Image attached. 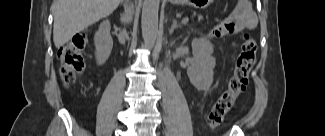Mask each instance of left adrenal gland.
Returning a JSON list of instances; mask_svg holds the SVG:
<instances>
[{
	"instance_id": "obj_1",
	"label": "left adrenal gland",
	"mask_w": 325,
	"mask_h": 136,
	"mask_svg": "<svg viewBox=\"0 0 325 136\" xmlns=\"http://www.w3.org/2000/svg\"><path fill=\"white\" fill-rule=\"evenodd\" d=\"M180 26H181V24H178L177 23V20L176 19H173V23H172V26H171V29H170V34L173 33L174 29H176V28H178Z\"/></svg>"
}]
</instances>
